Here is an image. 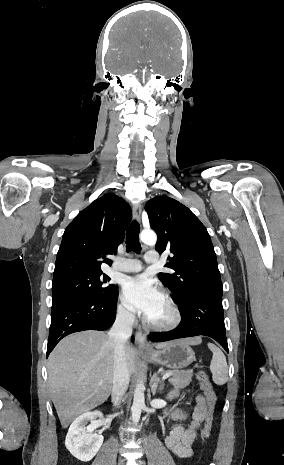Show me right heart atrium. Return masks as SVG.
<instances>
[{
	"label": "right heart atrium",
	"mask_w": 284,
	"mask_h": 465,
	"mask_svg": "<svg viewBox=\"0 0 284 465\" xmlns=\"http://www.w3.org/2000/svg\"><path fill=\"white\" fill-rule=\"evenodd\" d=\"M116 318L126 325H131L135 322L134 313L123 303H118L115 307Z\"/></svg>",
	"instance_id": "d8ad5b80"
}]
</instances>
